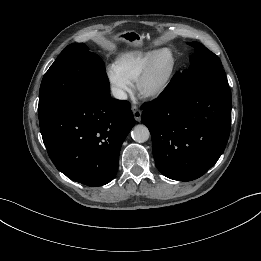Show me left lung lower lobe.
Masks as SVG:
<instances>
[{"label": "left lung lower lobe", "mask_w": 261, "mask_h": 261, "mask_svg": "<svg viewBox=\"0 0 261 261\" xmlns=\"http://www.w3.org/2000/svg\"><path fill=\"white\" fill-rule=\"evenodd\" d=\"M177 72L166 89L142 106L158 170L178 181H191L208 171L223 153L231 125V91L226 76L195 81L186 94L176 87Z\"/></svg>", "instance_id": "0a47b994"}]
</instances>
